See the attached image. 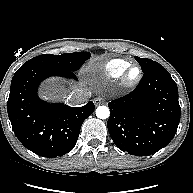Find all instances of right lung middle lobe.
Returning a JSON list of instances; mask_svg holds the SVG:
<instances>
[{
	"label": "right lung middle lobe",
	"mask_w": 193,
	"mask_h": 193,
	"mask_svg": "<svg viewBox=\"0 0 193 193\" xmlns=\"http://www.w3.org/2000/svg\"><path fill=\"white\" fill-rule=\"evenodd\" d=\"M89 58V52H76L61 55L43 54L28 60L20 69L44 68L56 71L74 72Z\"/></svg>",
	"instance_id": "dd1d6c3e"
}]
</instances>
